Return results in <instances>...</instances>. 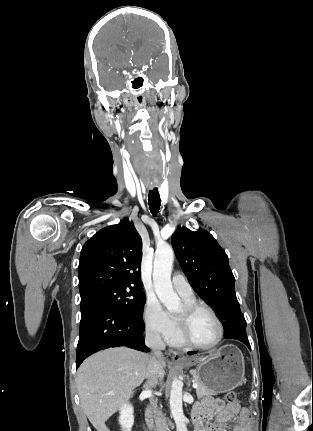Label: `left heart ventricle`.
<instances>
[{"mask_svg": "<svg viewBox=\"0 0 313 431\" xmlns=\"http://www.w3.org/2000/svg\"><path fill=\"white\" fill-rule=\"evenodd\" d=\"M183 308L177 313L181 315ZM189 336L191 340L200 345L213 343L218 336V327L213 317L207 311H199L190 322Z\"/></svg>", "mask_w": 313, "mask_h": 431, "instance_id": "left-heart-ventricle-1", "label": "left heart ventricle"}]
</instances>
